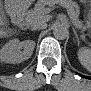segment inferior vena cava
Here are the masks:
<instances>
[{
	"label": "inferior vena cava",
	"mask_w": 91,
	"mask_h": 91,
	"mask_svg": "<svg viewBox=\"0 0 91 91\" xmlns=\"http://www.w3.org/2000/svg\"><path fill=\"white\" fill-rule=\"evenodd\" d=\"M31 25L33 26V30H41L47 27V24L44 21H33Z\"/></svg>",
	"instance_id": "1"
}]
</instances>
